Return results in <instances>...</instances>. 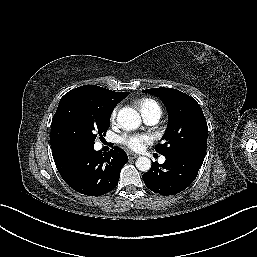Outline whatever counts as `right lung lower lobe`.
I'll use <instances>...</instances> for the list:
<instances>
[{"instance_id":"1","label":"right lung lower lobe","mask_w":257,"mask_h":257,"mask_svg":"<svg viewBox=\"0 0 257 257\" xmlns=\"http://www.w3.org/2000/svg\"><path fill=\"white\" fill-rule=\"evenodd\" d=\"M93 146L66 143L52 147V155L58 172L71 188L88 196H101L117 186L128 157L119 147L102 154Z\"/></svg>"}]
</instances>
